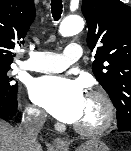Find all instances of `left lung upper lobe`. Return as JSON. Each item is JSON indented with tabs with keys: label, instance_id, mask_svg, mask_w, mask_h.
<instances>
[{
	"label": "left lung upper lobe",
	"instance_id": "1",
	"mask_svg": "<svg viewBox=\"0 0 131 151\" xmlns=\"http://www.w3.org/2000/svg\"><path fill=\"white\" fill-rule=\"evenodd\" d=\"M87 44L99 45L92 71L117 109V126L131 122V7L119 0H83Z\"/></svg>",
	"mask_w": 131,
	"mask_h": 151
}]
</instances>
